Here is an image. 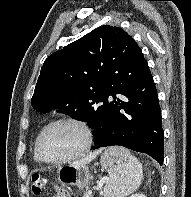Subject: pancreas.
<instances>
[{
    "label": "pancreas",
    "mask_w": 191,
    "mask_h": 197,
    "mask_svg": "<svg viewBox=\"0 0 191 197\" xmlns=\"http://www.w3.org/2000/svg\"><path fill=\"white\" fill-rule=\"evenodd\" d=\"M83 197H93L89 191H84Z\"/></svg>",
    "instance_id": "pancreas-1"
}]
</instances>
